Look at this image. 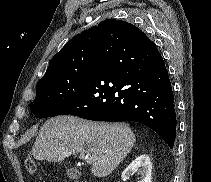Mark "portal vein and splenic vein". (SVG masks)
<instances>
[{
  "instance_id": "portal-vein-and-splenic-vein-1",
  "label": "portal vein and splenic vein",
  "mask_w": 211,
  "mask_h": 182,
  "mask_svg": "<svg viewBox=\"0 0 211 182\" xmlns=\"http://www.w3.org/2000/svg\"><path fill=\"white\" fill-rule=\"evenodd\" d=\"M80 157H81V156H80ZM83 158H84L85 160H87L88 162H92V161L94 160L95 156H93V155H91V154H87V155L83 156Z\"/></svg>"
}]
</instances>
